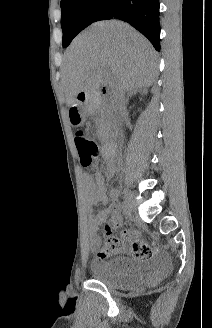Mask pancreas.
I'll return each instance as SVG.
<instances>
[{"mask_svg":"<svg viewBox=\"0 0 212 328\" xmlns=\"http://www.w3.org/2000/svg\"><path fill=\"white\" fill-rule=\"evenodd\" d=\"M95 125L97 134L105 139L112 132V121L108 105L100 104L96 106Z\"/></svg>","mask_w":212,"mask_h":328,"instance_id":"1","label":"pancreas"}]
</instances>
